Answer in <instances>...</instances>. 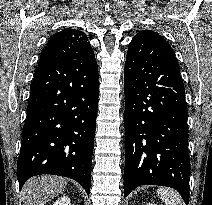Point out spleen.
Wrapping results in <instances>:
<instances>
[{"instance_id":"spleen-1","label":"spleen","mask_w":212,"mask_h":205,"mask_svg":"<svg viewBox=\"0 0 212 205\" xmlns=\"http://www.w3.org/2000/svg\"><path fill=\"white\" fill-rule=\"evenodd\" d=\"M157 194L165 205H182L179 195L172 189L160 187Z\"/></svg>"}]
</instances>
